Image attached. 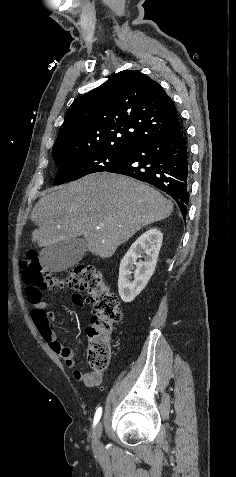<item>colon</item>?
Listing matches in <instances>:
<instances>
[{"mask_svg":"<svg viewBox=\"0 0 236 477\" xmlns=\"http://www.w3.org/2000/svg\"><path fill=\"white\" fill-rule=\"evenodd\" d=\"M22 279L29 302L41 300L42 291L73 288L88 294L93 306L92 327L88 330L86 361L94 372L105 371L112 359L109 337L122 319L120 302L92 265L79 264L66 276L45 270L36 252H29L22 263Z\"/></svg>","mask_w":236,"mask_h":477,"instance_id":"1","label":"colon"}]
</instances>
